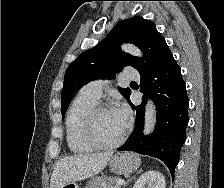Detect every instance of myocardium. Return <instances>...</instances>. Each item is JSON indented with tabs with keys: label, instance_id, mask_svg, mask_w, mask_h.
I'll use <instances>...</instances> for the list:
<instances>
[{
	"label": "myocardium",
	"instance_id": "f54148a6",
	"mask_svg": "<svg viewBox=\"0 0 224 188\" xmlns=\"http://www.w3.org/2000/svg\"><path fill=\"white\" fill-rule=\"evenodd\" d=\"M111 109V107L107 104H96L86 115L84 125H83V131L84 136L86 140L95 148L100 149H111L118 147L121 145L129 132L130 126L127 124L122 134L117 138L116 140L112 142H105L102 141L97 133H96V121L98 115L106 110Z\"/></svg>",
	"mask_w": 224,
	"mask_h": 188
}]
</instances>
